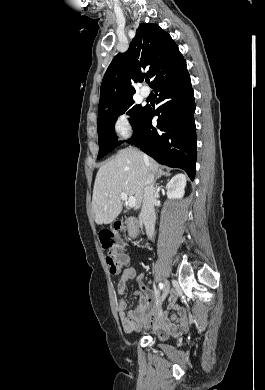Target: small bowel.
I'll list each match as a JSON object with an SVG mask.
<instances>
[{"label":"small bowel","instance_id":"c3829d8e","mask_svg":"<svg viewBox=\"0 0 265 390\" xmlns=\"http://www.w3.org/2000/svg\"><path fill=\"white\" fill-rule=\"evenodd\" d=\"M131 263L132 259L128 256H125V261L123 264L125 269L117 285V291L119 294L117 300L118 316L122 327L126 332H133L138 329L141 321L147 315L149 308L156 301L154 293L142 283L143 276L137 275L136 271L130 267ZM134 278H136L139 282V287L142 294L136 308L127 313V303L124 295L128 281ZM171 308L176 311V316H170L167 312L162 311L159 312L150 323V327L160 336H164L168 331L175 327V324L171 322V319H175L178 325L181 327L187 326L188 315L186 310L177 307L174 303L171 304Z\"/></svg>","mask_w":265,"mask_h":390}]
</instances>
